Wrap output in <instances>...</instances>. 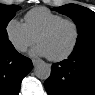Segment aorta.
<instances>
[{"mask_svg":"<svg viewBox=\"0 0 95 95\" xmlns=\"http://www.w3.org/2000/svg\"><path fill=\"white\" fill-rule=\"evenodd\" d=\"M34 74L41 80H46L50 77L51 66L45 62H40L34 67Z\"/></svg>","mask_w":95,"mask_h":95,"instance_id":"aorta-1","label":"aorta"}]
</instances>
